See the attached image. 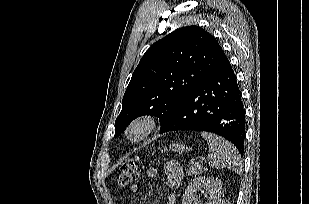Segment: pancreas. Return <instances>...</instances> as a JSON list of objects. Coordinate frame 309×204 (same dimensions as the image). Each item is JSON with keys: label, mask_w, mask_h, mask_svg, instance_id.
I'll list each match as a JSON object with an SVG mask.
<instances>
[{"label": "pancreas", "mask_w": 309, "mask_h": 204, "mask_svg": "<svg viewBox=\"0 0 309 204\" xmlns=\"http://www.w3.org/2000/svg\"><path fill=\"white\" fill-rule=\"evenodd\" d=\"M204 167L200 163H191L189 169L186 171V173L189 176L198 175L204 171Z\"/></svg>", "instance_id": "pancreas-1"}]
</instances>
